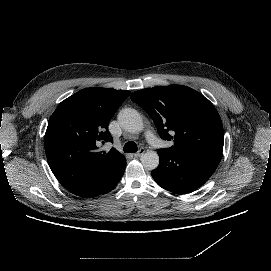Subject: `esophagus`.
Here are the masks:
<instances>
[{"label": "esophagus", "instance_id": "obj_1", "mask_svg": "<svg viewBox=\"0 0 271 271\" xmlns=\"http://www.w3.org/2000/svg\"><path fill=\"white\" fill-rule=\"evenodd\" d=\"M144 153H145V149L140 148L139 151L134 154V157L139 158V157L143 156Z\"/></svg>", "mask_w": 271, "mask_h": 271}]
</instances>
